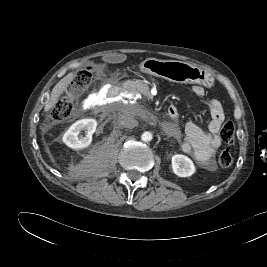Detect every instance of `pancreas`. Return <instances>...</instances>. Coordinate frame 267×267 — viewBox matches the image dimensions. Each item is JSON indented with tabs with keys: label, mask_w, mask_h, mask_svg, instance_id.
<instances>
[{
	"label": "pancreas",
	"mask_w": 267,
	"mask_h": 267,
	"mask_svg": "<svg viewBox=\"0 0 267 267\" xmlns=\"http://www.w3.org/2000/svg\"><path fill=\"white\" fill-rule=\"evenodd\" d=\"M129 92L132 93H141L147 97L150 96L149 93V87L147 85H145L143 82L141 81H131L129 82Z\"/></svg>",
	"instance_id": "obj_1"
}]
</instances>
